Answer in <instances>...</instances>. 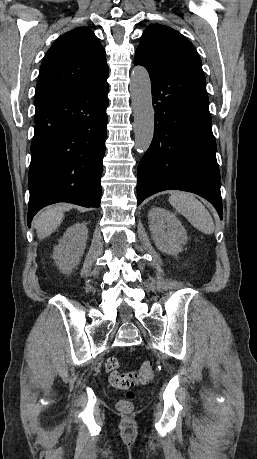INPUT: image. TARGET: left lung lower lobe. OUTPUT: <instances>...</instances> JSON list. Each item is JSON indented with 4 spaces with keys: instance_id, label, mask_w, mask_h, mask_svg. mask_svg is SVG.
<instances>
[{
    "instance_id": "0a47b994",
    "label": "left lung lower lobe",
    "mask_w": 257,
    "mask_h": 459,
    "mask_svg": "<svg viewBox=\"0 0 257 459\" xmlns=\"http://www.w3.org/2000/svg\"><path fill=\"white\" fill-rule=\"evenodd\" d=\"M144 67L151 78L155 125L151 145L138 166V204L163 190L188 191L212 203L222 219L220 173L204 73Z\"/></svg>"
}]
</instances>
